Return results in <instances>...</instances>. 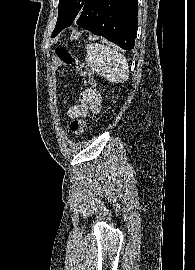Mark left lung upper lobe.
<instances>
[{
	"mask_svg": "<svg viewBox=\"0 0 195 270\" xmlns=\"http://www.w3.org/2000/svg\"><path fill=\"white\" fill-rule=\"evenodd\" d=\"M86 0H59L58 19L52 37L69 27L79 15Z\"/></svg>",
	"mask_w": 195,
	"mask_h": 270,
	"instance_id": "obj_1",
	"label": "left lung upper lobe"
}]
</instances>
